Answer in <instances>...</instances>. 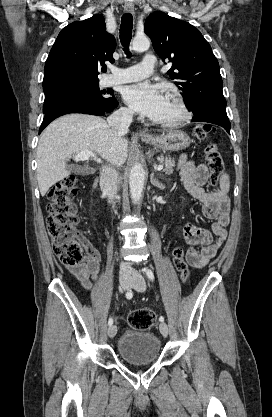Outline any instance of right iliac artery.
Segmentation results:
<instances>
[{"label":"right iliac artery","instance_id":"obj_1","mask_svg":"<svg viewBox=\"0 0 272 417\" xmlns=\"http://www.w3.org/2000/svg\"><path fill=\"white\" fill-rule=\"evenodd\" d=\"M133 297V293H132V290H129L127 293H126V298L127 299H131ZM113 324V318L112 317H110L109 318V320H108V325L109 326H111Z\"/></svg>","mask_w":272,"mask_h":417}]
</instances>
